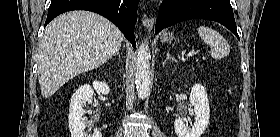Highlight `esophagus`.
Here are the masks:
<instances>
[{"label": "esophagus", "mask_w": 280, "mask_h": 137, "mask_svg": "<svg viewBox=\"0 0 280 137\" xmlns=\"http://www.w3.org/2000/svg\"><path fill=\"white\" fill-rule=\"evenodd\" d=\"M142 24L145 28H147L148 30H152L154 27V18L149 17V18H144L142 20Z\"/></svg>", "instance_id": "obj_1"}]
</instances>
